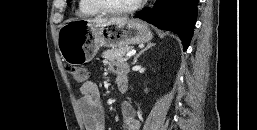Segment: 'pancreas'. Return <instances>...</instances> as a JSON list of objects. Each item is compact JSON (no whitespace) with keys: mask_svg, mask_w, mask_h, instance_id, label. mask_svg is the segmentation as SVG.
<instances>
[{"mask_svg":"<svg viewBox=\"0 0 257 130\" xmlns=\"http://www.w3.org/2000/svg\"><path fill=\"white\" fill-rule=\"evenodd\" d=\"M132 49L131 46H123L119 48H114L111 50L104 51L102 53V57L109 61L110 63H116L121 62L124 60V58L128 59L129 57H126V54Z\"/></svg>","mask_w":257,"mask_h":130,"instance_id":"obj_1","label":"pancreas"}]
</instances>
